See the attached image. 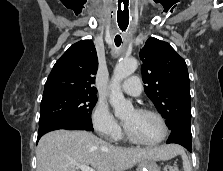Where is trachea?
<instances>
[{"label": "trachea", "instance_id": "obj_1", "mask_svg": "<svg viewBox=\"0 0 223 171\" xmlns=\"http://www.w3.org/2000/svg\"><path fill=\"white\" fill-rule=\"evenodd\" d=\"M120 12H121V11H120ZM121 41H122V39H121L120 36H116V37H115V45H116L117 47H119V46L121 45Z\"/></svg>", "mask_w": 223, "mask_h": 171}]
</instances>
